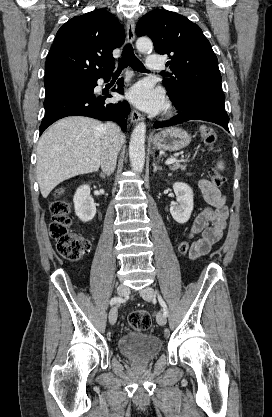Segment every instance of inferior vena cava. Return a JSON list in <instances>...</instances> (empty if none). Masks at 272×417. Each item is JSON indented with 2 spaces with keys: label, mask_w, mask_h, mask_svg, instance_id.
<instances>
[{
  "label": "inferior vena cava",
  "mask_w": 272,
  "mask_h": 417,
  "mask_svg": "<svg viewBox=\"0 0 272 417\" xmlns=\"http://www.w3.org/2000/svg\"><path fill=\"white\" fill-rule=\"evenodd\" d=\"M102 132L101 169L107 175H110L116 167L122 133L119 126L112 122L104 124Z\"/></svg>",
  "instance_id": "602c4592"
}]
</instances>
